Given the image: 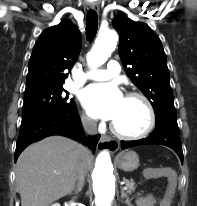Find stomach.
Masks as SVG:
<instances>
[{
  "label": "stomach",
  "mask_w": 197,
  "mask_h": 206,
  "mask_svg": "<svg viewBox=\"0 0 197 206\" xmlns=\"http://www.w3.org/2000/svg\"><path fill=\"white\" fill-rule=\"evenodd\" d=\"M117 166L126 172L134 171L139 167V156L134 151L119 153L115 158Z\"/></svg>",
  "instance_id": "0dacf381"
}]
</instances>
